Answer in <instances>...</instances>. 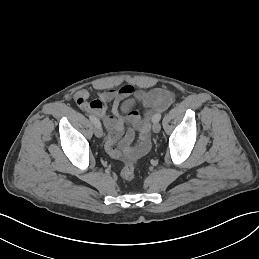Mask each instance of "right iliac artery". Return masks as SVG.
Returning <instances> with one entry per match:
<instances>
[{
    "label": "right iliac artery",
    "instance_id": "obj_1",
    "mask_svg": "<svg viewBox=\"0 0 259 259\" xmlns=\"http://www.w3.org/2000/svg\"><path fill=\"white\" fill-rule=\"evenodd\" d=\"M89 119L95 126H101L100 121L94 115H89Z\"/></svg>",
    "mask_w": 259,
    "mask_h": 259
}]
</instances>
